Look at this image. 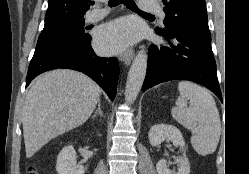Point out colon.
<instances>
[{
    "label": "colon",
    "mask_w": 249,
    "mask_h": 174,
    "mask_svg": "<svg viewBox=\"0 0 249 174\" xmlns=\"http://www.w3.org/2000/svg\"><path fill=\"white\" fill-rule=\"evenodd\" d=\"M27 174H38V172H37L36 168H34V167H29V168L27 169Z\"/></svg>",
    "instance_id": "obj_1"
}]
</instances>
